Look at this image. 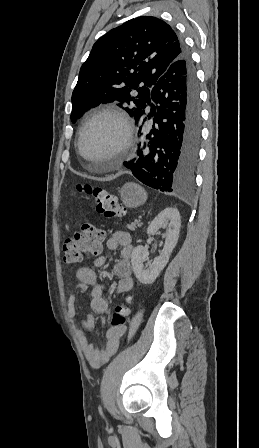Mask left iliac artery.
Returning a JSON list of instances; mask_svg holds the SVG:
<instances>
[{"instance_id":"obj_1","label":"left iliac artery","mask_w":259,"mask_h":448,"mask_svg":"<svg viewBox=\"0 0 259 448\" xmlns=\"http://www.w3.org/2000/svg\"><path fill=\"white\" fill-rule=\"evenodd\" d=\"M99 411H100V413L102 414V410H101V407H99Z\"/></svg>"}]
</instances>
